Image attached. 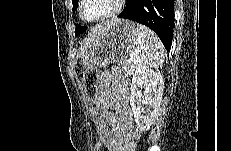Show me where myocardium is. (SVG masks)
Instances as JSON below:
<instances>
[{
	"mask_svg": "<svg viewBox=\"0 0 231 151\" xmlns=\"http://www.w3.org/2000/svg\"><path fill=\"white\" fill-rule=\"evenodd\" d=\"M86 1L87 0H81L80 1L79 15L84 21L90 22V23L103 22L105 20H108L110 18H113V17L117 16L121 12V10L123 8V5L125 3V0H115L114 7H113V9L111 11H109L106 14H103L101 16L95 17V18H87L84 15V7H85V4H86Z\"/></svg>",
	"mask_w": 231,
	"mask_h": 151,
	"instance_id": "myocardium-1",
	"label": "myocardium"
}]
</instances>
